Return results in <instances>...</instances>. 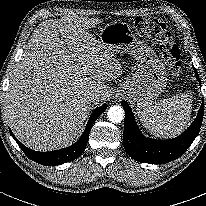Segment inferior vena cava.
Returning <instances> with one entry per match:
<instances>
[{
  "label": "inferior vena cava",
  "mask_w": 206,
  "mask_h": 206,
  "mask_svg": "<svg viewBox=\"0 0 206 206\" xmlns=\"http://www.w3.org/2000/svg\"><path fill=\"white\" fill-rule=\"evenodd\" d=\"M100 98H101L100 94H98V93H91L90 96H89V99L92 102L98 101Z\"/></svg>",
  "instance_id": "inferior-vena-cava-1"
}]
</instances>
